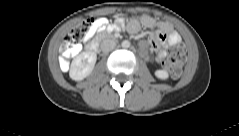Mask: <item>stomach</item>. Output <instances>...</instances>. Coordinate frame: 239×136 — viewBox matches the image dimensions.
<instances>
[{
  "label": "stomach",
  "instance_id": "0dacf381",
  "mask_svg": "<svg viewBox=\"0 0 239 136\" xmlns=\"http://www.w3.org/2000/svg\"><path fill=\"white\" fill-rule=\"evenodd\" d=\"M123 20L138 22L140 20V15L137 13H123Z\"/></svg>",
  "mask_w": 239,
  "mask_h": 136
}]
</instances>
